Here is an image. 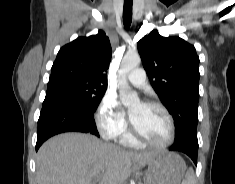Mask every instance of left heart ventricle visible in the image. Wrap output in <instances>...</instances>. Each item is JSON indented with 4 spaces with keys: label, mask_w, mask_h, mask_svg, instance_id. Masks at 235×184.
<instances>
[{
    "label": "left heart ventricle",
    "mask_w": 235,
    "mask_h": 184,
    "mask_svg": "<svg viewBox=\"0 0 235 184\" xmlns=\"http://www.w3.org/2000/svg\"><path fill=\"white\" fill-rule=\"evenodd\" d=\"M129 110L133 117L132 123L141 135L157 144L167 141L170 125L163 110L140 103L135 104Z\"/></svg>",
    "instance_id": "b2bd125f"
}]
</instances>
